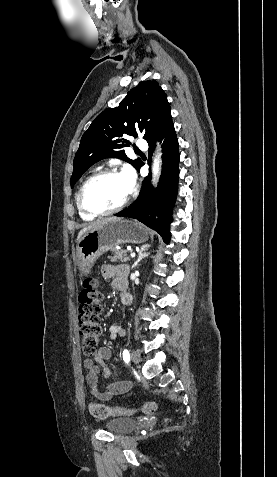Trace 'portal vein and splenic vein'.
Segmentation results:
<instances>
[{"label":"portal vein and splenic vein","mask_w":277,"mask_h":477,"mask_svg":"<svg viewBox=\"0 0 277 477\" xmlns=\"http://www.w3.org/2000/svg\"><path fill=\"white\" fill-rule=\"evenodd\" d=\"M135 255H136L135 252H132V251H131L130 256H131V257H135Z\"/></svg>","instance_id":"18ae733b"}]
</instances>
